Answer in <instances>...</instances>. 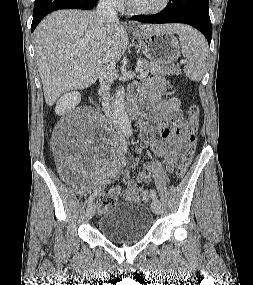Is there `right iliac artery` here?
Wrapping results in <instances>:
<instances>
[{"label": "right iliac artery", "instance_id": "1", "mask_svg": "<svg viewBox=\"0 0 253 285\" xmlns=\"http://www.w3.org/2000/svg\"><path fill=\"white\" fill-rule=\"evenodd\" d=\"M120 176L119 175H115L113 178H112V183L115 182L116 180H118ZM100 193V190L99 191H96L94 192L93 194H91L87 200L88 203L92 202Z\"/></svg>", "mask_w": 253, "mask_h": 285}]
</instances>
